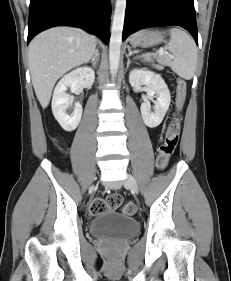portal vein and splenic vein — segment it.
Returning a JSON list of instances; mask_svg holds the SVG:
<instances>
[{"instance_id": "obj_1", "label": "portal vein and splenic vein", "mask_w": 231, "mask_h": 281, "mask_svg": "<svg viewBox=\"0 0 231 281\" xmlns=\"http://www.w3.org/2000/svg\"><path fill=\"white\" fill-rule=\"evenodd\" d=\"M156 54L164 55V54H169V53L167 51H164L163 49H160Z\"/></svg>"}]
</instances>
